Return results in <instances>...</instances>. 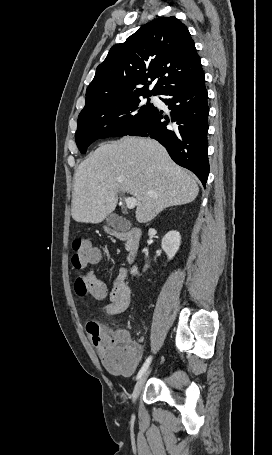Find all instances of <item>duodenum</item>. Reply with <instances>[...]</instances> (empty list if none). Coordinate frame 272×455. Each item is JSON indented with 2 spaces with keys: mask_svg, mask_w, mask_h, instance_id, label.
Returning a JSON list of instances; mask_svg holds the SVG:
<instances>
[{
  "mask_svg": "<svg viewBox=\"0 0 272 455\" xmlns=\"http://www.w3.org/2000/svg\"><path fill=\"white\" fill-rule=\"evenodd\" d=\"M112 233L116 238L126 241L127 261L129 263H133L136 260L139 252L141 230L137 227H132L126 230L113 229Z\"/></svg>",
  "mask_w": 272,
  "mask_h": 455,
  "instance_id": "obj_1",
  "label": "duodenum"
}]
</instances>
